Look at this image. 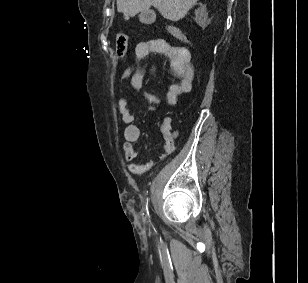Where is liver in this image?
Wrapping results in <instances>:
<instances>
[{
  "mask_svg": "<svg viewBox=\"0 0 308 283\" xmlns=\"http://www.w3.org/2000/svg\"><path fill=\"white\" fill-rule=\"evenodd\" d=\"M198 0H117V10L128 20L139 12L155 7L161 15L171 21L185 17Z\"/></svg>",
  "mask_w": 308,
  "mask_h": 283,
  "instance_id": "1",
  "label": "liver"
}]
</instances>
